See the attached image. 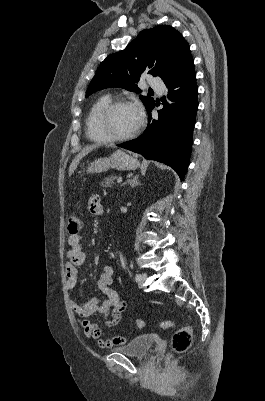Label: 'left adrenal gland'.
Returning a JSON list of instances; mask_svg holds the SVG:
<instances>
[{
	"instance_id": "1",
	"label": "left adrenal gland",
	"mask_w": 265,
	"mask_h": 401,
	"mask_svg": "<svg viewBox=\"0 0 265 401\" xmlns=\"http://www.w3.org/2000/svg\"><path fill=\"white\" fill-rule=\"evenodd\" d=\"M138 178H139V174H135V176H132V178H129V180H127V182L133 188V186H138V184H140ZM127 182H125V184H127Z\"/></svg>"
}]
</instances>
